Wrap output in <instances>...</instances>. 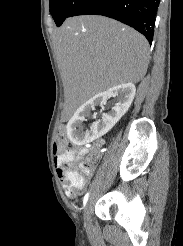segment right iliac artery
Masks as SVG:
<instances>
[{
	"label": "right iliac artery",
	"mask_w": 183,
	"mask_h": 246,
	"mask_svg": "<svg viewBox=\"0 0 183 246\" xmlns=\"http://www.w3.org/2000/svg\"><path fill=\"white\" fill-rule=\"evenodd\" d=\"M88 198H89V192L86 193V195L84 196L83 198V206L85 207L87 201H88Z\"/></svg>",
	"instance_id": "right-iliac-artery-1"
}]
</instances>
